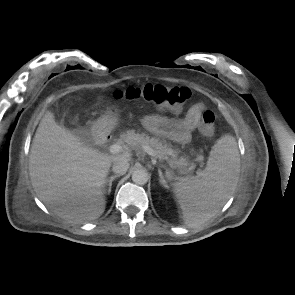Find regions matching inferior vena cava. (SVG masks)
Here are the masks:
<instances>
[{"instance_id":"1","label":"inferior vena cava","mask_w":295,"mask_h":295,"mask_svg":"<svg viewBox=\"0 0 295 295\" xmlns=\"http://www.w3.org/2000/svg\"><path fill=\"white\" fill-rule=\"evenodd\" d=\"M129 168V163L127 160H119L114 162L112 166V171L118 175H124Z\"/></svg>"}]
</instances>
